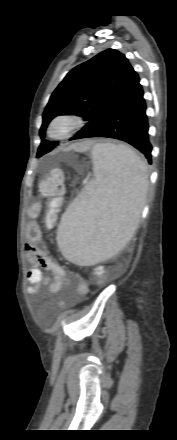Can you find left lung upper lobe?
Segmentation results:
<instances>
[{"instance_id":"left-lung-upper-lobe-1","label":"left lung upper lobe","mask_w":177,"mask_h":440,"mask_svg":"<svg viewBox=\"0 0 177 440\" xmlns=\"http://www.w3.org/2000/svg\"><path fill=\"white\" fill-rule=\"evenodd\" d=\"M139 76L124 54L107 49L73 68L52 93L43 113L41 138L48 123L59 114H76L88 121L80 139L99 128L119 109L139 85ZM56 142L42 140L37 157L50 152Z\"/></svg>"}]
</instances>
